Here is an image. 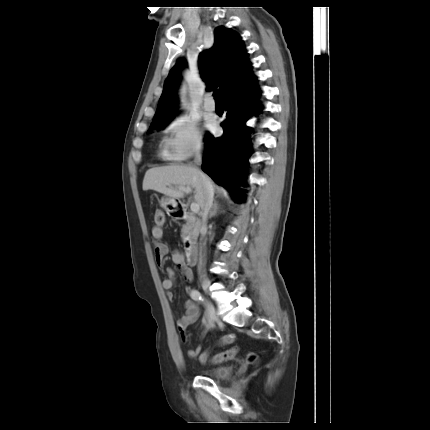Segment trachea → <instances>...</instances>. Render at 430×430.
I'll return each instance as SVG.
<instances>
[{
  "instance_id": "1",
  "label": "trachea",
  "mask_w": 430,
  "mask_h": 430,
  "mask_svg": "<svg viewBox=\"0 0 430 430\" xmlns=\"http://www.w3.org/2000/svg\"><path fill=\"white\" fill-rule=\"evenodd\" d=\"M220 94H221V90L220 89H218V90H216L214 92V96H215L216 100H221Z\"/></svg>"
}]
</instances>
